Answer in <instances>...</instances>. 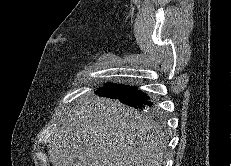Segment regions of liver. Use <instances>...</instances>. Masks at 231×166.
I'll return each instance as SVG.
<instances>
[{"label": "liver", "mask_w": 231, "mask_h": 166, "mask_svg": "<svg viewBox=\"0 0 231 166\" xmlns=\"http://www.w3.org/2000/svg\"><path fill=\"white\" fill-rule=\"evenodd\" d=\"M166 144L134 108L86 97L60 122L48 154L53 166H162Z\"/></svg>", "instance_id": "6515ba94"}]
</instances>
